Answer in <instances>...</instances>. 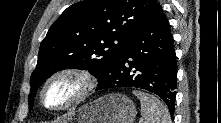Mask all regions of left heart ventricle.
I'll return each mask as SVG.
<instances>
[{
	"label": "left heart ventricle",
	"mask_w": 221,
	"mask_h": 123,
	"mask_svg": "<svg viewBox=\"0 0 221 123\" xmlns=\"http://www.w3.org/2000/svg\"><path fill=\"white\" fill-rule=\"evenodd\" d=\"M78 85L72 78L54 81L45 92V102L49 106H59L70 100L77 92Z\"/></svg>",
	"instance_id": "b2bd125f"
}]
</instances>
